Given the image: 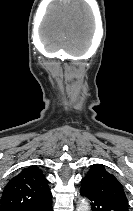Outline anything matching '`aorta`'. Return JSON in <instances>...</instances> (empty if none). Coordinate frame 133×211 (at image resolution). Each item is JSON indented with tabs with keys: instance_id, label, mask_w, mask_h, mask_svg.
Instances as JSON below:
<instances>
[{
	"instance_id": "762f6f07",
	"label": "aorta",
	"mask_w": 133,
	"mask_h": 211,
	"mask_svg": "<svg viewBox=\"0 0 133 211\" xmlns=\"http://www.w3.org/2000/svg\"><path fill=\"white\" fill-rule=\"evenodd\" d=\"M90 210H91V207H90L89 202L85 198L81 199L77 206V211H90Z\"/></svg>"
}]
</instances>
